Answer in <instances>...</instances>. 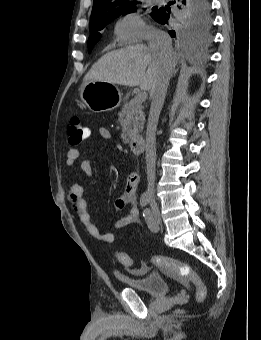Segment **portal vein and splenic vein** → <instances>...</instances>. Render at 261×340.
<instances>
[{
    "mask_svg": "<svg viewBox=\"0 0 261 340\" xmlns=\"http://www.w3.org/2000/svg\"><path fill=\"white\" fill-rule=\"evenodd\" d=\"M146 98H147V93H146V92H142V93L136 95V96L134 97L133 101H134L135 103H138V104H139V103L144 102V101L146 100Z\"/></svg>",
    "mask_w": 261,
    "mask_h": 340,
    "instance_id": "1",
    "label": "portal vein and splenic vein"
}]
</instances>
